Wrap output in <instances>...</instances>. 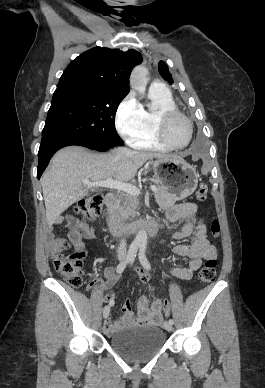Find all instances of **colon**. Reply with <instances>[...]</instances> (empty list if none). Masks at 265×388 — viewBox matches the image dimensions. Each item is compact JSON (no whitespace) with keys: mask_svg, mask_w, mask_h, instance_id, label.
<instances>
[{"mask_svg":"<svg viewBox=\"0 0 265 388\" xmlns=\"http://www.w3.org/2000/svg\"><path fill=\"white\" fill-rule=\"evenodd\" d=\"M197 198L200 200L205 199L207 195V186L201 183L196 192ZM103 198L100 195H94L82 199L78 202L75 208V212L79 214L83 219H94L98 217L102 212ZM213 235H218L220 231V225L217 220H214L211 225ZM85 257V251L79 250L69 255H57L54 259V267L69 285L74 288H79L83 284V258ZM217 262L215 259H207L198 272V280L200 283H209L214 280L216 276ZM162 305L163 313L168 317L171 313L170 305L167 300L157 298Z\"/></svg>","mask_w":265,"mask_h":388,"instance_id":"obj_1","label":"colon"}]
</instances>
